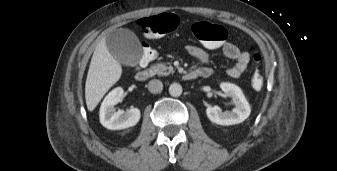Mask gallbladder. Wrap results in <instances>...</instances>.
Instances as JSON below:
<instances>
[{
  "label": "gallbladder",
  "instance_id": "bac80fb5",
  "mask_svg": "<svg viewBox=\"0 0 337 171\" xmlns=\"http://www.w3.org/2000/svg\"><path fill=\"white\" fill-rule=\"evenodd\" d=\"M106 46L112 56L122 64L134 66L142 56L139 40L131 31L117 29L106 37Z\"/></svg>",
  "mask_w": 337,
  "mask_h": 171
}]
</instances>
